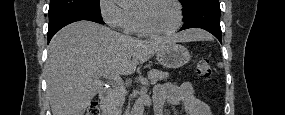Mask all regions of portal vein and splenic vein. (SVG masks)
<instances>
[{"instance_id": "1", "label": "portal vein and splenic vein", "mask_w": 285, "mask_h": 115, "mask_svg": "<svg viewBox=\"0 0 285 115\" xmlns=\"http://www.w3.org/2000/svg\"><path fill=\"white\" fill-rule=\"evenodd\" d=\"M104 76H106V77L110 78L111 80L119 83V85H122V80H121L119 74L111 72V73L104 74Z\"/></svg>"}]
</instances>
